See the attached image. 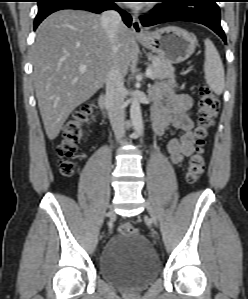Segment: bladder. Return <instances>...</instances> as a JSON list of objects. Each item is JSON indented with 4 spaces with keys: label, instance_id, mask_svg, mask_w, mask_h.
<instances>
[{
    "label": "bladder",
    "instance_id": "bladder-1",
    "mask_svg": "<svg viewBox=\"0 0 248 299\" xmlns=\"http://www.w3.org/2000/svg\"><path fill=\"white\" fill-rule=\"evenodd\" d=\"M159 261L147 238L139 233L117 234L104 245L100 259L101 276L115 286L136 290L159 275Z\"/></svg>",
    "mask_w": 248,
    "mask_h": 299
}]
</instances>
